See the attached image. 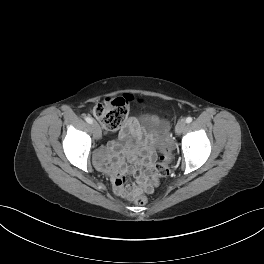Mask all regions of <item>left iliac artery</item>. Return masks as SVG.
<instances>
[{"mask_svg": "<svg viewBox=\"0 0 264 264\" xmlns=\"http://www.w3.org/2000/svg\"><path fill=\"white\" fill-rule=\"evenodd\" d=\"M185 122H186V123H190V122H192V117H187V118L185 119Z\"/></svg>", "mask_w": 264, "mask_h": 264, "instance_id": "44dca946", "label": "left iliac artery"}]
</instances>
